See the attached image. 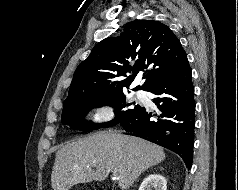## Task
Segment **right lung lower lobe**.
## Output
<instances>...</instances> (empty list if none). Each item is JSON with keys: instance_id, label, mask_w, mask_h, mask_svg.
<instances>
[{"instance_id": "right-lung-lower-lobe-1", "label": "right lung lower lobe", "mask_w": 238, "mask_h": 190, "mask_svg": "<svg viewBox=\"0 0 238 190\" xmlns=\"http://www.w3.org/2000/svg\"><path fill=\"white\" fill-rule=\"evenodd\" d=\"M149 92L158 113L141 107L120 124L126 131L177 153L188 169L193 162L195 101L192 71L188 61L172 77L156 84Z\"/></svg>"}]
</instances>
